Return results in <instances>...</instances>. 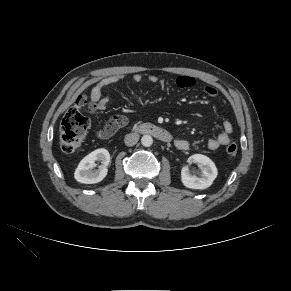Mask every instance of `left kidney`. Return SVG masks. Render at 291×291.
Instances as JSON below:
<instances>
[{"mask_svg":"<svg viewBox=\"0 0 291 291\" xmlns=\"http://www.w3.org/2000/svg\"><path fill=\"white\" fill-rule=\"evenodd\" d=\"M187 162L189 164H197L201 170V174L200 176H196L189 169L188 165L184 166L181 170V181L183 185L191 189H206L210 187L218 174L214 162L202 154H193L188 158Z\"/></svg>","mask_w":291,"mask_h":291,"instance_id":"5707ae66","label":"left kidney"}]
</instances>
